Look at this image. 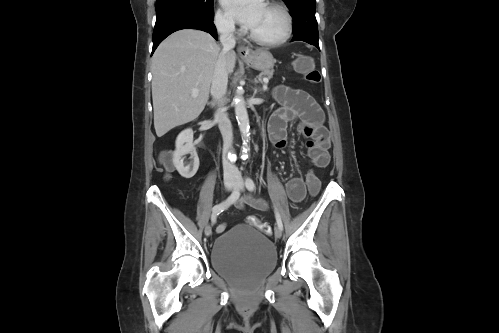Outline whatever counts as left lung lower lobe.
I'll use <instances>...</instances> for the list:
<instances>
[{
	"instance_id": "1",
	"label": "left lung lower lobe",
	"mask_w": 499,
	"mask_h": 333,
	"mask_svg": "<svg viewBox=\"0 0 499 333\" xmlns=\"http://www.w3.org/2000/svg\"><path fill=\"white\" fill-rule=\"evenodd\" d=\"M294 36L292 41H304L319 49L318 27L315 14H301L293 17Z\"/></svg>"
}]
</instances>
